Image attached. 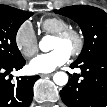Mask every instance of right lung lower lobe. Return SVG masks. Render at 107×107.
I'll return each mask as SVG.
<instances>
[{
    "instance_id": "right-lung-lower-lobe-1",
    "label": "right lung lower lobe",
    "mask_w": 107,
    "mask_h": 107,
    "mask_svg": "<svg viewBox=\"0 0 107 107\" xmlns=\"http://www.w3.org/2000/svg\"><path fill=\"white\" fill-rule=\"evenodd\" d=\"M25 65L24 58L14 63L0 61V107H28L33 98V85L39 76H22L17 83H11L7 75Z\"/></svg>"
}]
</instances>
